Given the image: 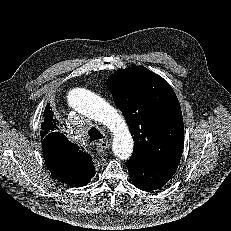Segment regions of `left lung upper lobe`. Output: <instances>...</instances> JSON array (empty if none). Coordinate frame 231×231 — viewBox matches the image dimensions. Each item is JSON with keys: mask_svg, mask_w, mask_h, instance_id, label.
<instances>
[{"mask_svg": "<svg viewBox=\"0 0 231 231\" xmlns=\"http://www.w3.org/2000/svg\"><path fill=\"white\" fill-rule=\"evenodd\" d=\"M108 89L135 141L130 162L179 164L184 125L179 101L170 85L143 66L116 71Z\"/></svg>", "mask_w": 231, "mask_h": 231, "instance_id": "1", "label": "left lung upper lobe"}]
</instances>
